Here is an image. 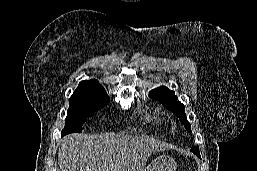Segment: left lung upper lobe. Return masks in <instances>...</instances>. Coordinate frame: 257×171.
Segmentation results:
<instances>
[{
    "mask_svg": "<svg viewBox=\"0 0 257 171\" xmlns=\"http://www.w3.org/2000/svg\"><path fill=\"white\" fill-rule=\"evenodd\" d=\"M149 95L156 100H160L161 103L170 111H172L176 116L179 117L181 122L184 124L186 130L191 132L190 123L187 121L185 114V106L177 101L175 93L165 86L158 87L150 91ZM191 151L196 154H200L199 147H192Z\"/></svg>",
    "mask_w": 257,
    "mask_h": 171,
    "instance_id": "5c2ea615",
    "label": "left lung upper lobe"
}]
</instances>
